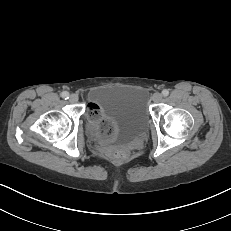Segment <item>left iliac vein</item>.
Returning a JSON list of instances; mask_svg holds the SVG:
<instances>
[{
  "label": "left iliac vein",
  "mask_w": 231,
  "mask_h": 231,
  "mask_svg": "<svg viewBox=\"0 0 231 231\" xmlns=\"http://www.w3.org/2000/svg\"><path fill=\"white\" fill-rule=\"evenodd\" d=\"M161 100H162V95L160 93L156 92L152 95V101L153 102L159 103V102H161Z\"/></svg>",
  "instance_id": "obj_1"
}]
</instances>
